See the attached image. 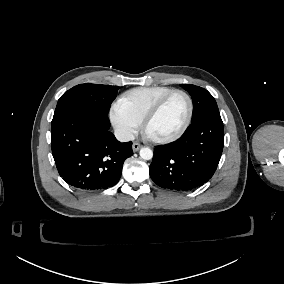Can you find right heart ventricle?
I'll use <instances>...</instances> for the list:
<instances>
[{
  "instance_id": "obj_1",
  "label": "right heart ventricle",
  "mask_w": 284,
  "mask_h": 284,
  "mask_svg": "<svg viewBox=\"0 0 284 284\" xmlns=\"http://www.w3.org/2000/svg\"><path fill=\"white\" fill-rule=\"evenodd\" d=\"M173 87L154 85L136 87L123 92L115 103L116 109L132 116L141 125L148 111Z\"/></svg>"
}]
</instances>
